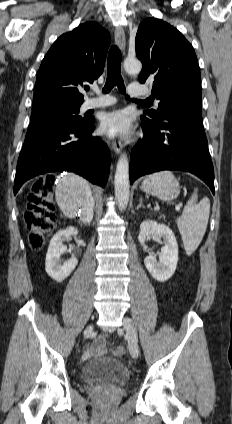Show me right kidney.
Wrapping results in <instances>:
<instances>
[{"mask_svg": "<svg viewBox=\"0 0 232 424\" xmlns=\"http://www.w3.org/2000/svg\"><path fill=\"white\" fill-rule=\"evenodd\" d=\"M78 230L75 227H68L58 231L50 241L45 260V270L47 274L57 282L66 279L77 266V259L74 255L67 261L62 263L61 255H63L67 247L63 245V241L70 240L71 236H75Z\"/></svg>", "mask_w": 232, "mask_h": 424, "instance_id": "ca27d5eb", "label": "right kidney"}]
</instances>
